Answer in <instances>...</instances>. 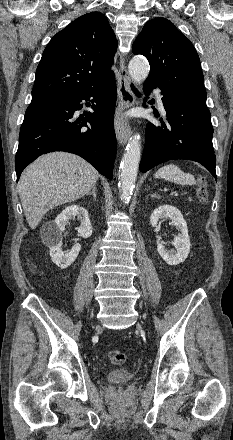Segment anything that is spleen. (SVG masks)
<instances>
[{"label":"spleen","instance_id":"3e777b00","mask_svg":"<svg viewBox=\"0 0 233 440\" xmlns=\"http://www.w3.org/2000/svg\"><path fill=\"white\" fill-rule=\"evenodd\" d=\"M155 177L164 179L179 185H195V177L190 173L183 172L175 164H167L157 170Z\"/></svg>","mask_w":233,"mask_h":440}]
</instances>
